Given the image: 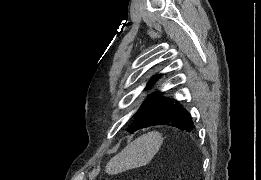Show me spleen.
Segmentation results:
<instances>
[{
	"label": "spleen",
	"instance_id": "3e777b00",
	"mask_svg": "<svg viewBox=\"0 0 261 180\" xmlns=\"http://www.w3.org/2000/svg\"><path fill=\"white\" fill-rule=\"evenodd\" d=\"M162 144L163 138L159 132H148L139 136L110 160L106 166V174H121L133 168L147 166L159 152Z\"/></svg>",
	"mask_w": 261,
	"mask_h": 180
}]
</instances>
